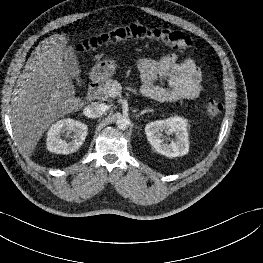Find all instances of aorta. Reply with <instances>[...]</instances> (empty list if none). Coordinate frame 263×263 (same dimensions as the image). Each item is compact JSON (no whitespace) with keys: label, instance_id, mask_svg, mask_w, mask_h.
<instances>
[{"label":"aorta","instance_id":"aorta-1","mask_svg":"<svg viewBox=\"0 0 263 263\" xmlns=\"http://www.w3.org/2000/svg\"><path fill=\"white\" fill-rule=\"evenodd\" d=\"M116 125L121 130H126L130 126V119L128 116L121 115L116 120Z\"/></svg>","mask_w":263,"mask_h":263}]
</instances>
